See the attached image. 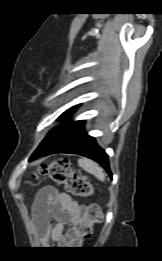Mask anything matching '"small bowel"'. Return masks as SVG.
Masks as SVG:
<instances>
[{
	"label": "small bowel",
	"mask_w": 162,
	"mask_h": 261,
	"mask_svg": "<svg viewBox=\"0 0 162 261\" xmlns=\"http://www.w3.org/2000/svg\"><path fill=\"white\" fill-rule=\"evenodd\" d=\"M84 209V205H80L68 194L46 186L35 199V222L38 228L48 230L52 243L62 244L66 242L64 234L74 239V227Z\"/></svg>",
	"instance_id": "c3829d8e"
}]
</instances>
